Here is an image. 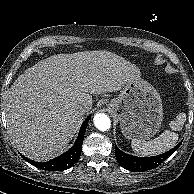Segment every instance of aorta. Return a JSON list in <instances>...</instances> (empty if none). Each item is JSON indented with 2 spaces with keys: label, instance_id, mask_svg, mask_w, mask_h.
I'll list each match as a JSON object with an SVG mask.
<instances>
[{
  "label": "aorta",
  "instance_id": "1",
  "mask_svg": "<svg viewBox=\"0 0 194 194\" xmlns=\"http://www.w3.org/2000/svg\"><path fill=\"white\" fill-rule=\"evenodd\" d=\"M94 125L100 131H107L111 127L109 117L104 113H98L93 118Z\"/></svg>",
  "mask_w": 194,
  "mask_h": 194
}]
</instances>
